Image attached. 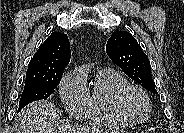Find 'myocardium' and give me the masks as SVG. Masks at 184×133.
Segmentation results:
<instances>
[{"mask_svg":"<svg viewBox=\"0 0 184 133\" xmlns=\"http://www.w3.org/2000/svg\"><path fill=\"white\" fill-rule=\"evenodd\" d=\"M131 93L138 94L145 102V105L147 108L145 115L141 117H134L127 111L125 107V100H126V97ZM113 102H114V109L116 113L129 124L142 123L149 117L151 113V103L148 95L144 90H142L141 88L135 85L130 84L119 88L114 96Z\"/></svg>","mask_w":184,"mask_h":133,"instance_id":"obj_1","label":"myocardium"}]
</instances>
